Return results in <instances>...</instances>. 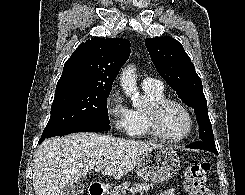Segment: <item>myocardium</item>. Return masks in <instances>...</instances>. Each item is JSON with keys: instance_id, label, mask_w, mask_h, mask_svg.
<instances>
[{"instance_id": "myocardium-1", "label": "myocardium", "mask_w": 245, "mask_h": 195, "mask_svg": "<svg viewBox=\"0 0 245 195\" xmlns=\"http://www.w3.org/2000/svg\"><path fill=\"white\" fill-rule=\"evenodd\" d=\"M169 105L179 106L187 115L188 118V129L187 131L177 137H169L165 135L159 127V119L163 110ZM146 125L148 133L154 136L157 139H160L164 142H180L188 138L194 130V117L190 109L180 100L164 98L153 104H151L146 111Z\"/></svg>"}]
</instances>
